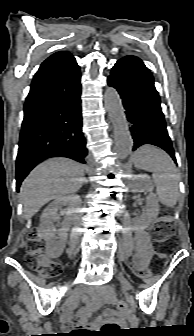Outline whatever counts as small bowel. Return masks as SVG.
Returning <instances> with one entry per match:
<instances>
[{"label":"small bowel","instance_id":"c3829d8e","mask_svg":"<svg viewBox=\"0 0 194 336\" xmlns=\"http://www.w3.org/2000/svg\"><path fill=\"white\" fill-rule=\"evenodd\" d=\"M136 246L137 254L135 258V265L138 269H145L148 265L150 256H151V243L149 241L148 235L144 231H138L136 234ZM99 295L96 297L101 302L109 303L114 301L113 289L109 286L104 287L99 292ZM87 298L84 292H79L75 295V300H85ZM106 314L111 316L113 313L111 310H107ZM65 323L72 322V317L70 313L66 312L63 317ZM74 323L78 326H82L84 319L82 314H79L75 317Z\"/></svg>","mask_w":194,"mask_h":336}]
</instances>
